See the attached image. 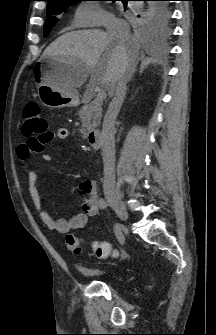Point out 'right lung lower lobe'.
Masks as SVG:
<instances>
[{
    "instance_id": "98d812e1",
    "label": "right lung lower lobe",
    "mask_w": 216,
    "mask_h": 335,
    "mask_svg": "<svg viewBox=\"0 0 216 335\" xmlns=\"http://www.w3.org/2000/svg\"><path fill=\"white\" fill-rule=\"evenodd\" d=\"M141 1H144L145 3H146V5L143 7V9L145 10V11H149L150 9H151V5L153 4V3H155L156 1H151V0H141ZM122 2H123V4L125 5V7H126V5H127V1H125V0H122ZM158 2V1H157ZM160 2V1H159Z\"/></svg>"
}]
</instances>
